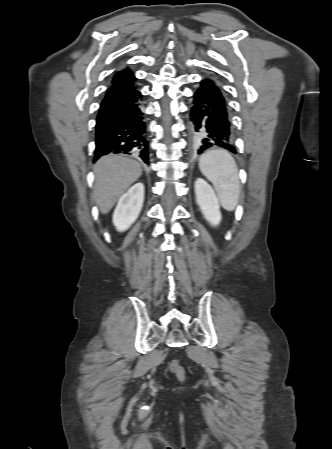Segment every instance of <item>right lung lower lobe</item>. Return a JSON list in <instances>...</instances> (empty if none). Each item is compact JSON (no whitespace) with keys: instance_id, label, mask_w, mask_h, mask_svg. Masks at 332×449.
<instances>
[{"instance_id":"1","label":"right lung lower lobe","mask_w":332,"mask_h":449,"mask_svg":"<svg viewBox=\"0 0 332 449\" xmlns=\"http://www.w3.org/2000/svg\"><path fill=\"white\" fill-rule=\"evenodd\" d=\"M142 95L133 90L105 95L96 120L94 161L107 154H127L149 163Z\"/></svg>"}]
</instances>
